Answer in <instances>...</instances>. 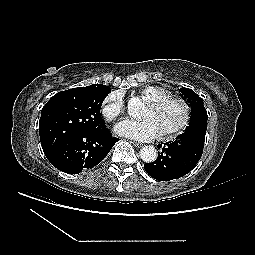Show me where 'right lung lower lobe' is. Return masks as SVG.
I'll use <instances>...</instances> for the list:
<instances>
[{
	"label": "right lung lower lobe",
	"mask_w": 255,
	"mask_h": 255,
	"mask_svg": "<svg viewBox=\"0 0 255 255\" xmlns=\"http://www.w3.org/2000/svg\"><path fill=\"white\" fill-rule=\"evenodd\" d=\"M118 140L105 126L96 133L84 132L71 136L47 158L57 169L78 174L99 164Z\"/></svg>",
	"instance_id": "obj_1"
}]
</instances>
